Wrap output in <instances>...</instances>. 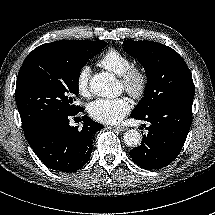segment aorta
I'll return each instance as SVG.
<instances>
[{
    "label": "aorta",
    "instance_id": "aorta-1",
    "mask_svg": "<svg viewBox=\"0 0 215 215\" xmlns=\"http://www.w3.org/2000/svg\"><path fill=\"white\" fill-rule=\"evenodd\" d=\"M113 76L106 72L95 74L90 80V91L97 96H108L112 91ZM124 143L129 147H137L142 141V134L136 129L127 130L123 135Z\"/></svg>",
    "mask_w": 215,
    "mask_h": 215
}]
</instances>
